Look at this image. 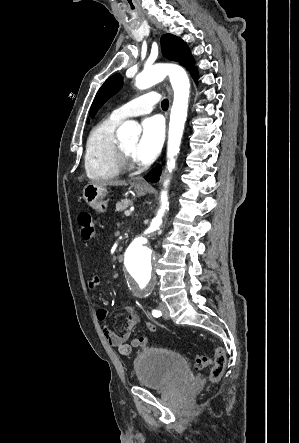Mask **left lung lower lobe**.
<instances>
[{"instance_id": "obj_1", "label": "left lung lower lobe", "mask_w": 299, "mask_h": 443, "mask_svg": "<svg viewBox=\"0 0 299 443\" xmlns=\"http://www.w3.org/2000/svg\"><path fill=\"white\" fill-rule=\"evenodd\" d=\"M192 76L196 80L197 79V72L195 71L192 74ZM160 174H161V167L160 166H156L154 169H152L150 171V173L147 176H145V179L147 181H153V182L154 181H158Z\"/></svg>"}]
</instances>
